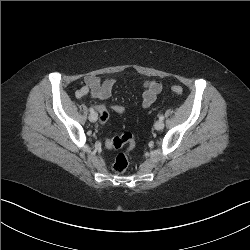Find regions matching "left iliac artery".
I'll return each mask as SVG.
<instances>
[{
  "label": "left iliac artery",
  "mask_w": 250,
  "mask_h": 250,
  "mask_svg": "<svg viewBox=\"0 0 250 250\" xmlns=\"http://www.w3.org/2000/svg\"><path fill=\"white\" fill-rule=\"evenodd\" d=\"M159 119H160L161 121L164 120V116L161 115V116L159 117Z\"/></svg>",
  "instance_id": "left-iliac-artery-1"
}]
</instances>
